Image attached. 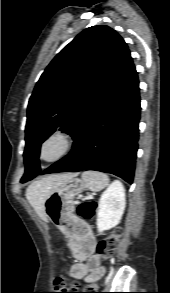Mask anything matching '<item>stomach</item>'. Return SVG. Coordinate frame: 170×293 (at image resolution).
<instances>
[{
  "instance_id": "stomach-1",
  "label": "stomach",
  "mask_w": 170,
  "mask_h": 293,
  "mask_svg": "<svg viewBox=\"0 0 170 293\" xmlns=\"http://www.w3.org/2000/svg\"><path fill=\"white\" fill-rule=\"evenodd\" d=\"M83 182L76 176L54 188L45 201V214L58 228L72 235L68 224L73 222L75 201L85 190Z\"/></svg>"
}]
</instances>
